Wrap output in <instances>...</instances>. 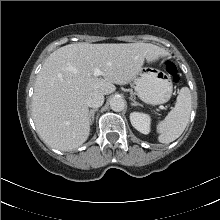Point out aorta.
I'll use <instances>...</instances> for the list:
<instances>
[{
  "label": "aorta",
  "mask_w": 220,
  "mask_h": 220,
  "mask_svg": "<svg viewBox=\"0 0 220 220\" xmlns=\"http://www.w3.org/2000/svg\"><path fill=\"white\" fill-rule=\"evenodd\" d=\"M110 108L115 112H120L125 108V101L121 97H113L110 100Z\"/></svg>",
  "instance_id": "762f6f07"
}]
</instances>
